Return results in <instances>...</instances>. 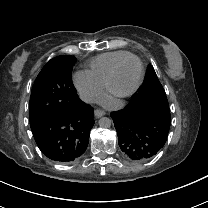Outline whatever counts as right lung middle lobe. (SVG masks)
Listing matches in <instances>:
<instances>
[{
  "instance_id": "right-lung-middle-lobe-1",
  "label": "right lung middle lobe",
  "mask_w": 208,
  "mask_h": 208,
  "mask_svg": "<svg viewBox=\"0 0 208 208\" xmlns=\"http://www.w3.org/2000/svg\"><path fill=\"white\" fill-rule=\"evenodd\" d=\"M75 62L73 56H58L43 67L31 92L30 122L45 120L51 114L73 108L78 96L71 80Z\"/></svg>"
}]
</instances>
